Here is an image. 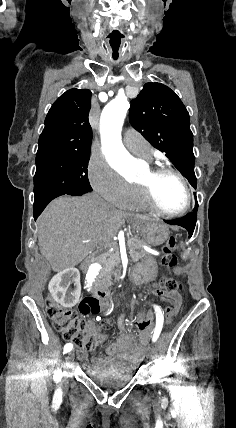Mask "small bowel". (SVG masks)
I'll list each match as a JSON object with an SVG mask.
<instances>
[{
  "instance_id": "c3829d8e",
  "label": "small bowel",
  "mask_w": 236,
  "mask_h": 428,
  "mask_svg": "<svg viewBox=\"0 0 236 428\" xmlns=\"http://www.w3.org/2000/svg\"><path fill=\"white\" fill-rule=\"evenodd\" d=\"M105 306L106 304L103 303V307ZM152 307L154 311L160 310L162 312L159 305L152 304ZM141 316L146 321V324L142 327L136 324L128 325L123 315L119 318L118 327L120 332L117 341L109 345L106 349L109 359L117 361H139L143 358L145 346L152 332L151 321L153 312L149 311L146 314H141ZM110 325L111 321L108 320L104 322L103 327H109ZM135 333L137 334V338L135 337ZM78 359L92 367V365L89 364V359L85 350H80Z\"/></svg>"
}]
</instances>
